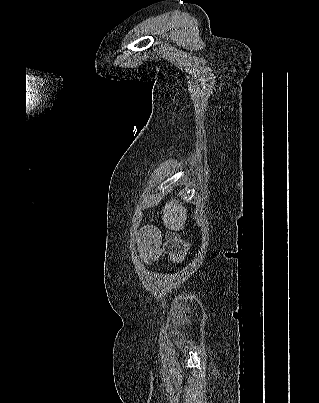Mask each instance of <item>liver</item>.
I'll list each match as a JSON object with an SVG mask.
<instances>
[{
    "instance_id": "6515ba94",
    "label": "liver",
    "mask_w": 319,
    "mask_h": 403,
    "mask_svg": "<svg viewBox=\"0 0 319 403\" xmlns=\"http://www.w3.org/2000/svg\"><path fill=\"white\" fill-rule=\"evenodd\" d=\"M162 213L163 223L168 229L174 231L184 229L185 221L187 219V209L182 206V203L172 199L165 204Z\"/></svg>"
}]
</instances>
